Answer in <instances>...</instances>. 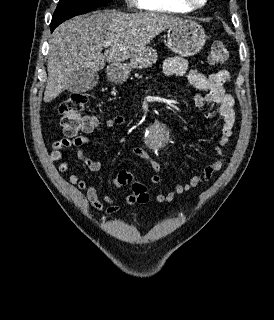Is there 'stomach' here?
Segmentation results:
<instances>
[{"instance_id":"0dacf381","label":"stomach","mask_w":274,"mask_h":320,"mask_svg":"<svg viewBox=\"0 0 274 320\" xmlns=\"http://www.w3.org/2000/svg\"><path fill=\"white\" fill-rule=\"evenodd\" d=\"M206 42L205 32L197 22L192 20H178L177 24L170 26L167 32V46L171 52L178 56H195L199 54ZM157 60V54L152 48H144L136 58H131L130 64H111L106 74L115 84H122L127 80L131 70H144L151 68Z\"/></svg>"}]
</instances>
